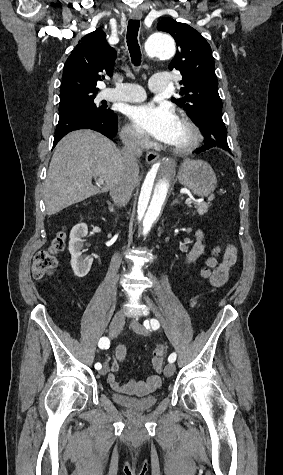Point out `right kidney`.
I'll list each match as a JSON object with an SVG mask.
<instances>
[{
	"label": "right kidney",
	"instance_id": "obj_1",
	"mask_svg": "<svg viewBox=\"0 0 283 475\" xmlns=\"http://www.w3.org/2000/svg\"><path fill=\"white\" fill-rule=\"evenodd\" d=\"M88 234L87 224H76L70 232L69 251L71 253V267L78 277H84L90 271L93 257L82 255L85 236Z\"/></svg>",
	"mask_w": 283,
	"mask_h": 475
}]
</instances>
